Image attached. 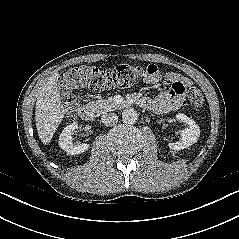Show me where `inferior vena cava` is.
I'll return each mask as SVG.
<instances>
[{"instance_id":"1","label":"inferior vena cava","mask_w":239,"mask_h":239,"mask_svg":"<svg viewBox=\"0 0 239 239\" xmlns=\"http://www.w3.org/2000/svg\"><path fill=\"white\" fill-rule=\"evenodd\" d=\"M102 122L106 126H112L118 121V116L115 113H105L101 117Z\"/></svg>"}]
</instances>
